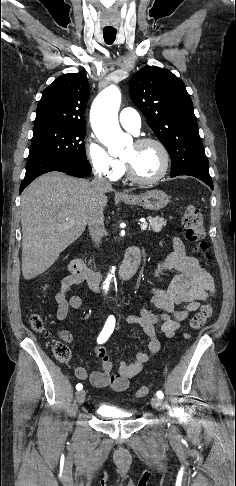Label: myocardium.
<instances>
[{"label":"myocardium","mask_w":236,"mask_h":486,"mask_svg":"<svg viewBox=\"0 0 236 486\" xmlns=\"http://www.w3.org/2000/svg\"><path fill=\"white\" fill-rule=\"evenodd\" d=\"M134 144L137 146H143L147 144L156 145L162 155V168L155 176L151 178H141L134 173L130 164L127 161L123 160L128 179L134 183L141 184V185L154 184L160 181L161 179H163L166 176L170 167V154L167 147L164 145V143L156 138L146 137V138H141L136 140Z\"/></svg>","instance_id":"obj_1"}]
</instances>
